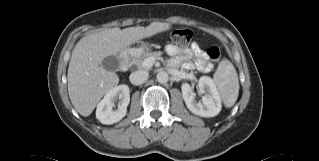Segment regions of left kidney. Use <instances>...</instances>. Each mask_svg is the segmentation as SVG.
<instances>
[{"label":"left kidney","instance_id":"left-kidney-1","mask_svg":"<svg viewBox=\"0 0 319 161\" xmlns=\"http://www.w3.org/2000/svg\"><path fill=\"white\" fill-rule=\"evenodd\" d=\"M201 91L207 90L201 101L195 100V93L188 83L181 86L183 99L187 108L195 115L201 117H214L221 111V98L214 81L208 76H202L198 81Z\"/></svg>","mask_w":319,"mask_h":161}]
</instances>
